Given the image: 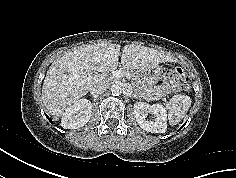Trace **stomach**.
Returning <instances> with one entry per match:
<instances>
[{"label":"stomach","mask_w":236,"mask_h":178,"mask_svg":"<svg viewBox=\"0 0 236 178\" xmlns=\"http://www.w3.org/2000/svg\"><path fill=\"white\" fill-rule=\"evenodd\" d=\"M162 70L160 66L155 65L147 69L139 70V75L143 83L148 86L155 85L161 78Z\"/></svg>","instance_id":"1"}]
</instances>
